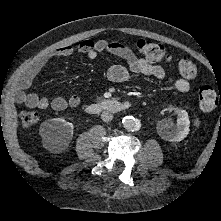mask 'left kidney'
Instances as JSON below:
<instances>
[{"instance_id": "5707ae66", "label": "left kidney", "mask_w": 221, "mask_h": 221, "mask_svg": "<svg viewBox=\"0 0 221 221\" xmlns=\"http://www.w3.org/2000/svg\"><path fill=\"white\" fill-rule=\"evenodd\" d=\"M164 111H174L177 114V124H174L170 120H160L157 123L158 134L166 141L179 142L183 140L189 133V116L185 110H181L177 107H169Z\"/></svg>"}]
</instances>
